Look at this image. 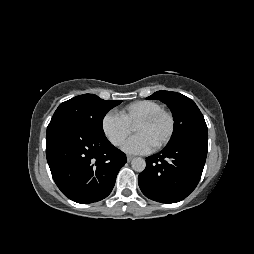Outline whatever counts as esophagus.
<instances>
[{
	"instance_id": "34e87169",
	"label": "esophagus",
	"mask_w": 254,
	"mask_h": 254,
	"mask_svg": "<svg viewBox=\"0 0 254 254\" xmlns=\"http://www.w3.org/2000/svg\"><path fill=\"white\" fill-rule=\"evenodd\" d=\"M134 157L131 155H127V161L130 162Z\"/></svg>"
}]
</instances>
